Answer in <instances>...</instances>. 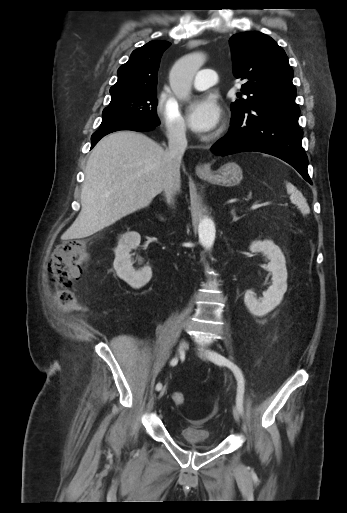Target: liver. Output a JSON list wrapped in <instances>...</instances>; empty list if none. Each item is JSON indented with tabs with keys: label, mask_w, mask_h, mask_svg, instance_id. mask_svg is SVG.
<instances>
[{
	"label": "liver",
	"mask_w": 347,
	"mask_h": 513,
	"mask_svg": "<svg viewBox=\"0 0 347 513\" xmlns=\"http://www.w3.org/2000/svg\"><path fill=\"white\" fill-rule=\"evenodd\" d=\"M169 183L178 191L180 175L171 172L157 142L133 131L108 134L89 156L81 211L63 239L88 237L147 207Z\"/></svg>",
	"instance_id": "liver-1"
}]
</instances>
